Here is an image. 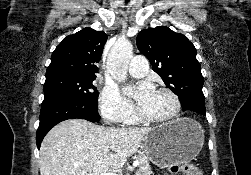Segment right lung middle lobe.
Masks as SVG:
<instances>
[{
	"instance_id": "obj_1",
	"label": "right lung middle lobe",
	"mask_w": 251,
	"mask_h": 175,
	"mask_svg": "<svg viewBox=\"0 0 251 175\" xmlns=\"http://www.w3.org/2000/svg\"><path fill=\"white\" fill-rule=\"evenodd\" d=\"M95 78L68 75L46 77L44 95L57 93L91 101L97 99L99 95V92L92 84Z\"/></svg>"
}]
</instances>
